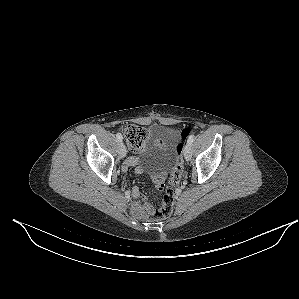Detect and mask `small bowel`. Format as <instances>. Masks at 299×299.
I'll use <instances>...</instances> for the list:
<instances>
[{"mask_svg":"<svg viewBox=\"0 0 299 299\" xmlns=\"http://www.w3.org/2000/svg\"><path fill=\"white\" fill-rule=\"evenodd\" d=\"M136 165H138V158L132 156L123 165V170L126 171L129 167L136 166ZM136 172L140 174L143 172V170L140 167H137ZM154 179L157 183H160L162 178L160 176H156ZM132 197L135 199V202L132 205L133 212L139 217H143V218L147 217L150 214L152 208L150 204L142 203L141 201L138 200L140 198V191L138 187H133Z\"/></svg>","mask_w":299,"mask_h":299,"instance_id":"small-bowel-1","label":"small bowel"}]
</instances>
